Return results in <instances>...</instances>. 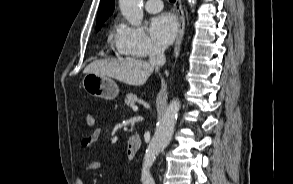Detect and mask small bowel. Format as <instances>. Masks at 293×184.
<instances>
[{
	"instance_id": "1",
	"label": "small bowel",
	"mask_w": 293,
	"mask_h": 184,
	"mask_svg": "<svg viewBox=\"0 0 293 184\" xmlns=\"http://www.w3.org/2000/svg\"><path fill=\"white\" fill-rule=\"evenodd\" d=\"M101 135V129L95 128L88 136L82 139L81 146L84 149H90L93 147V145L98 141ZM100 168V163L93 159H88L83 165L79 166L76 173V184H88L87 181H85L82 178V173L84 172H92L95 170H98Z\"/></svg>"
}]
</instances>
